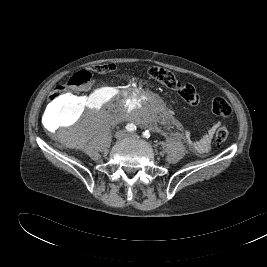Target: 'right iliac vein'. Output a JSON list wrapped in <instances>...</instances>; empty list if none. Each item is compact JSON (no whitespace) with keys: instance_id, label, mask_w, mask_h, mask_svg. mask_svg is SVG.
Returning <instances> with one entry per match:
<instances>
[{"instance_id":"63e3f726","label":"right iliac vein","mask_w":267,"mask_h":267,"mask_svg":"<svg viewBox=\"0 0 267 267\" xmlns=\"http://www.w3.org/2000/svg\"><path fill=\"white\" fill-rule=\"evenodd\" d=\"M125 135H126V133L124 131H119L116 133L115 136H116V138L121 139V138L125 137Z\"/></svg>"}]
</instances>
